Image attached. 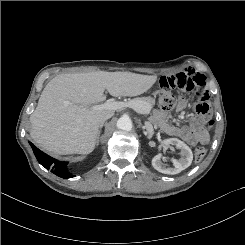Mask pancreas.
Returning <instances> with one entry per match:
<instances>
[{"instance_id": "1", "label": "pancreas", "mask_w": 245, "mask_h": 245, "mask_svg": "<svg viewBox=\"0 0 245 245\" xmlns=\"http://www.w3.org/2000/svg\"><path fill=\"white\" fill-rule=\"evenodd\" d=\"M128 102L137 104L140 109L145 106H153L155 104V100L152 97L134 98Z\"/></svg>"}]
</instances>
